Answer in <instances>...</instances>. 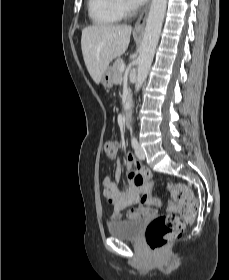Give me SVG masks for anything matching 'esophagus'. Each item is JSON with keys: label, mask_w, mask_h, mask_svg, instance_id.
I'll return each mask as SVG.
<instances>
[{"label": "esophagus", "mask_w": 229, "mask_h": 280, "mask_svg": "<svg viewBox=\"0 0 229 280\" xmlns=\"http://www.w3.org/2000/svg\"><path fill=\"white\" fill-rule=\"evenodd\" d=\"M150 3H151V0H149L147 5L145 6L143 11L141 12V14H140V16H139V18H138V20L135 24V27H134L135 30H143V28L145 26L146 19H147L148 11H149V8H150Z\"/></svg>", "instance_id": "obj_1"}]
</instances>
